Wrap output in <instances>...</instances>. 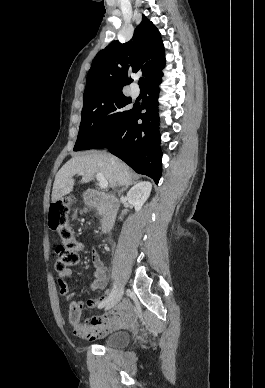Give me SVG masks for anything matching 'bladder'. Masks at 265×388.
I'll return each mask as SVG.
<instances>
[{"label": "bladder", "mask_w": 265, "mask_h": 388, "mask_svg": "<svg viewBox=\"0 0 265 388\" xmlns=\"http://www.w3.org/2000/svg\"><path fill=\"white\" fill-rule=\"evenodd\" d=\"M130 344V335L128 332H114L104 337V346L123 348Z\"/></svg>", "instance_id": "31cf9c89"}]
</instances>
